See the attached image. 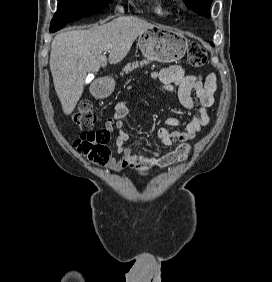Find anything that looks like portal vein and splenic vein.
<instances>
[{
	"label": "portal vein and splenic vein",
	"mask_w": 272,
	"mask_h": 282,
	"mask_svg": "<svg viewBox=\"0 0 272 282\" xmlns=\"http://www.w3.org/2000/svg\"><path fill=\"white\" fill-rule=\"evenodd\" d=\"M104 51H105V53L109 52V51H110L109 47H106V48L104 49Z\"/></svg>",
	"instance_id": "portal-vein-and-splenic-vein-1"
}]
</instances>
